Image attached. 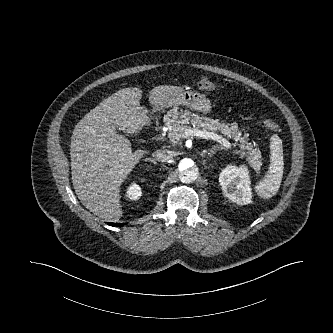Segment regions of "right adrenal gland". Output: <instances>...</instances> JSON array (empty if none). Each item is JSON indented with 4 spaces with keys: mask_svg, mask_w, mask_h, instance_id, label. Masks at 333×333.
<instances>
[{
    "mask_svg": "<svg viewBox=\"0 0 333 333\" xmlns=\"http://www.w3.org/2000/svg\"><path fill=\"white\" fill-rule=\"evenodd\" d=\"M148 160L152 161L153 162V159L149 158Z\"/></svg>",
    "mask_w": 333,
    "mask_h": 333,
    "instance_id": "1",
    "label": "right adrenal gland"
}]
</instances>
